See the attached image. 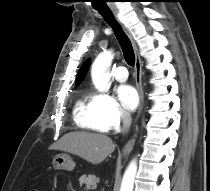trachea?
Returning a JSON list of instances; mask_svg holds the SVG:
<instances>
[{
    "instance_id": "1",
    "label": "trachea",
    "mask_w": 210,
    "mask_h": 191,
    "mask_svg": "<svg viewBox=\"0 0 210 191\" xmlns=\"http://www.w3.org/2000/svg\"><path fill=\"white\" fill-rule=\"evenodd\" d=\"M104 18V20L112 27L114 34L122 48V52L126 62L133 66L135 63L134 50L129 37L125 34L120 24L115 19L110 9H96Z\"/></svg>"
}]
</instances>
